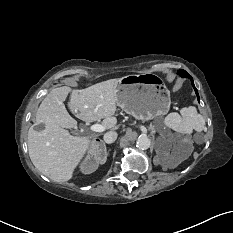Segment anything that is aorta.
<instances>
[{"label":"aorta","mask_w":233,"mask_h":233,"mask_svg":"<svg viewBox=\"0 0 233 233\" xmlns=\"http://www.w3.org/2000/svg\"><path fill=\"white\" fill-rule=\"evenodd\" d=\"M150 139L146 136H140L138 137L137 139V142H136V146L139 148V149H142V150H146L150 147Z\"/></svg>","instance_id":"1"}]
</instances>
